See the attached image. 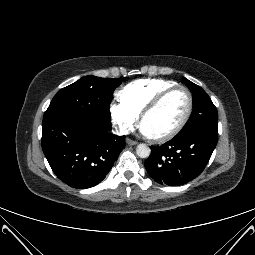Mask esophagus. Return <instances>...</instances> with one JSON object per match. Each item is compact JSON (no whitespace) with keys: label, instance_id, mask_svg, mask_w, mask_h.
<instances>
[{"label":"esophagus","instance_id":"obj_1","mask_svg":"<svg viewBox=\"0 0 255 255\" xmlns=\"http://www.w3.org/2000/svg\"><path fill=\"white\" fill-rule=\"evenodd\" d=\"M126 143L129 145V146H134V145H136L137 144V142L136 141H134V140H131V139H126Z\"/></svg>","mask_w":255,"mask_h":255}]
</instances>
